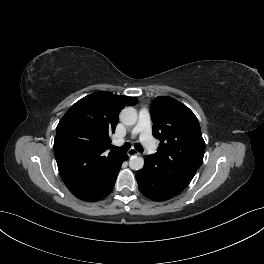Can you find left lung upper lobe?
<instances>
[{"instance_id": "5c2ea615", "label": "left lung upper lobe", "mask_w": 264, "mask_h": 264, "mask_svg": "<svg viewBox=\"0 0 264 264\" xmlns=\"http://www.w3.org/2000/svg\"><path fill=\"white\" fill-rule=\"evenodd\" d=\"M153 136L160 140L157 157L166 170L183 171L193 178L203 162L205 142L194 113L171 97L159 96L151 102Z\"/></svg>"}]
</instances>
